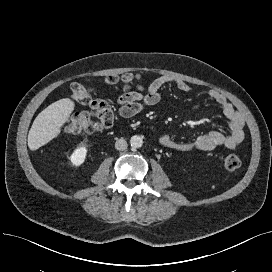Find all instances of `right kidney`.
I'll list each match as a JSON object with an SVG mask.
<instances>
[{
  "instance_id": "obj_1",
  "label": "right kidney",
  "mask_w": 272,
  "mask_h": 272,
  "mask_svg": "<svg viewBox=\"0 0 272 272\" xmlns=\"http://www.w3.org/2000/svg\"><path fill=\"white\" fill-rule=\"evenodd\" d=\"M87 148L86 147H78L74 150V152L70 156V161L75 166H80L86 159Z\"/></svg>"
}]
</instances>
